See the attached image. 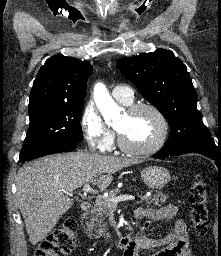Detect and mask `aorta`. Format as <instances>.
I'll return each instance as SVG.
<instances>
[{"label":"aorta","instance_id":"1","mask_svg":"<svg viewBox=\"0 0 221 256\" xmlns=\"http://www.w3.org/2000/svg\"><path fill=\"white\" fill-rule=\"evenodd\" d=\"M94 100L106 121L116 117L121 110L102 83L95 85Z\"/></svg>","mask_w":221,"mask_h":256}]
</instances>
